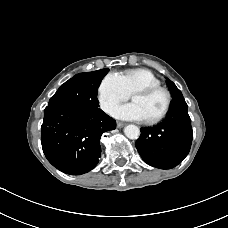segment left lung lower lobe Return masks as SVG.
I'll return each mask as SVG.
<instances>
[{
  "label": "left lung lower lobe",
  "instance_id": "0a47b994",
  "mask_svg": "<svg viewBox=\"0 0 228 228\" xmlns=\"http://www.w3.org/2000/svg\"><path fill=\"white\" fill-rule=\"evenodd\" d=\"M193 132L183 95L173 98L166 119L153 128H141L135 146L150 166L171 169L188 155Z\"/></svg>",
  "mask_w": 228,
  "mask_h": 228
}]
</instances>
